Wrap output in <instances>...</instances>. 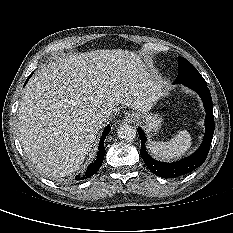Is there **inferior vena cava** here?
<instances>
[{
	"instance_id": "obj_1",
	"label": "inferior vena cava",
	"mask_w": 233,
	"mask_h": 233,
	"mask_svg": "<svg viewBox=\"0 0 233 233\" xmlns=\"http://www.w3.org/2000/svg\"><path fill=\"white\" fill-rule=\"evenodd\" d=\"M108 115L104 114V113H100L98 115L95 116V119L99 122V123H103L107 120Z\"/></svg>"
}]
</instances>
